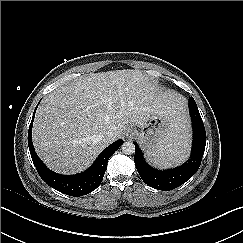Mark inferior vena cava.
<instances>
[{
    "label": "inferior vena cava",
    "mask_w": 243,
    "mask_h": 243,
    "mask_svg": "<svg viewBox=\"0 0 243 243\" xmlns=\"http://www.w3.org/2000/svg\"><path fill=\"white\" fill-rule=\"evenodd\" d=\"M104 138L108 141H112L115 139V132L114 130H108L105 135Z\"/></svg>",
    "instance_id": "obj_1"
}]
</instances>
